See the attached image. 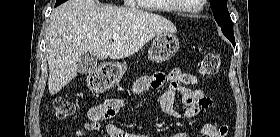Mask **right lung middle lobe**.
<instances>
[{
	"label": "right lung middle lobe",
	"mask_w": 280,
	"mask_h": 137,
	"mask_svg": "<svg viewBox=\"0 0 280 137\" xmlns=\"http://www.w3.org/2000/svg\"><path fill=\"white\" fill-rule=\"evenodd\" d=\"M66 0H56V4L55 6H58L60 4H62L63 2H65Z\"/></svg>",
	"instance_id": "right-lung-middle-lobe-1"
}]
</instances>
